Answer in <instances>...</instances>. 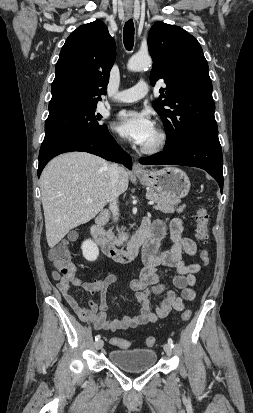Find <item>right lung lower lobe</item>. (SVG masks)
Segmentation results:
<instances>
[{
	"label": "right lung lower lobe",
	"instance_id": "1",
	"mask_svg": "<svg viewBox=\"0 0 253 413\" xmlns=\"http://www.w3.org/2000/svg\"><path fill=\"white\" fill-rule=\"evenodd\" d=\"M71 151L92 153L122 163L129 169L132 167L131 157L121 150L107 129L94 135H66L44 140L39 152L38 177L53 157Z\"/></svg>",
	"mask_w": 253,
	"mask_h": 413
}]
</instances>
